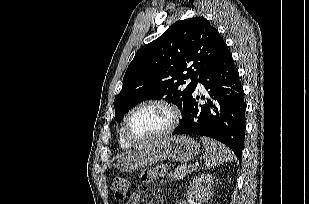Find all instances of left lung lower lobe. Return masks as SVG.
Returning a JSON list of instances; mask_svg holds the SVG:
<instances>
[{
    "label": "left lung lower lobe",
    "instance_id": "0a47b994",
    "mask_svg": "<svg viewBox=\"0 0 309 204\" xmlns=\"http://www.w3.org/2000/svg\"><path fill=\"white\" fill-rule=\"evenodd\" d=\"M198 82L208 90L212 101L199 105L200 97L193 95L173 134H194L218 140L230 147L241 162L246 104L239 73L228 47ZM202 99L205 98L202 96Z\"/></svg>",
    "mask_w": 309,
    "mask_h": 204
}]
</instances>
